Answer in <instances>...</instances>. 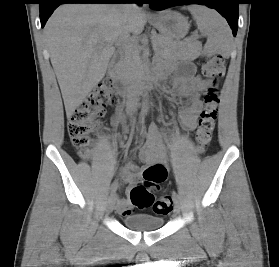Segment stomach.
<instances>
[{
	"mask_svg": "<svg viewBox=\"0 0 279 267\" xmlns=\"http://www.w3.org/2000/svg\"><path fill=\"white\" fill-rule=\"evenodd\" d=\"M150 23L165 37L182 39L188 33V19L176 11H164L150 19Z\"/></svg>",
	"mask_w": 279,
	"mask_h": 267,
	"instance_id": "0dacf381",
	"label": "stomach"
}]
</instances>
